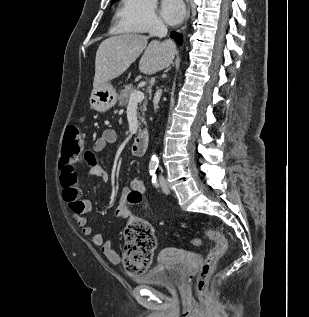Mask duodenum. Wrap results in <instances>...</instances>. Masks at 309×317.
<instances>
[{
    "mask_svg": "<svg viewBox=\"0 0 309 317\" xmlns=\"http://www.w3.org/2000/svg\"><path fill=\"white\" fill-rule=\"evenodd\" d=\"M148 145V132L142 129L137 134L131 146V153L135 156H143Z\"/></svg>",
    "mask_w": 309,
    "mask_h": 317,
    "instance_id": "duodenum-1",
    "label": "duodenum"
}]
</instances>
